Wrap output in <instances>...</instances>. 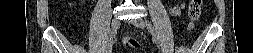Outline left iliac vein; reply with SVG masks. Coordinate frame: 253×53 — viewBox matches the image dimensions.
<instances>
[{"label": "left iliac vein", "mask_w": 253, "mask_h": 53, "mask_svg": "<svg viewBox=\"0 0 253 53\" xmlns=\"http://www.w3.org/2000/svg\"><path fill=\"white\" fill-rule=\"evenodd\" d=\"M132 23H133L136 27H139V28H146V27H147L146 22H145L142 18L134 19V20H132Z\"/></svg>", "instance_id": "obj_1"}]
</instances>
